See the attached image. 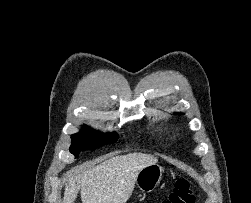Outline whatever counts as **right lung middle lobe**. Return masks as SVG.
Masks as SVG:
<instances>
[{
  "label": "right lung middle lobe",
  "mask_w": 251,
  "mask_h": 203,
  "mask_svg": "<svg viewBox=\"0 0 251 203\" xmlns=\"http://www.w3.org/2000/svg\"><path fill=\"white\" fill-rule=\"evenodd\" d=\"M118 137L114 132L103 134L85 126L81 132L71 136L70 152L77 157L80 151L94 150L108 143L113 144Z\"/></svg>",
  "instance_id": "right-lung-middle-lobe-1"
}]
</instances>
